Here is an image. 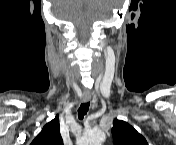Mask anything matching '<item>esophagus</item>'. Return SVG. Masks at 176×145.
I'll return each instance as SVG.
<instances>
[{
	"instance_id": "34e87169",
	"label": "esophagus",
	"mask_w": 176,
	"mask_h": 145,
	"mask_svg": "<svg viewBox=\"0 0 176 145\" xmlns=\"http://www.w3.org/2000/svg\"><path fill=\"white\" fill-rule=\"evenodd\" d=\"M89 100H90V96H88V95L83 96L84 102H88Z\"/></svg>"
}]
</instances>
